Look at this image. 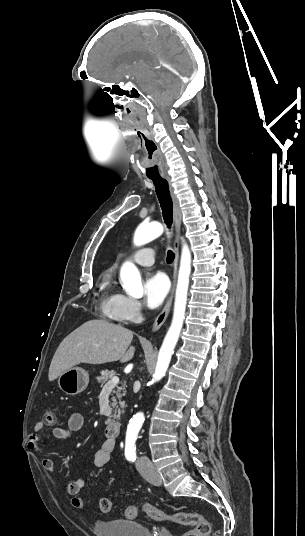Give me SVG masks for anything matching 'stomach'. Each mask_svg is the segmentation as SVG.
Returning a JSON list of instances; mask_svg holds the SVG:
<instances>
[{
    "label": "stomach",
    "instance_id": "0dacf381",
    "mask_svg": "<svg viewBox=\"0 0 305 536\" xmlns=\"http://www.w3.org/2000/svg\"><path fill=\"white\" fill-rule=\"evenodd\" d=\"M89 384V374L83 368H70L58 376V386L67 396L84 392Z\"/></svg>",
    "mask_w": 305,
    "mask_h": 536
}]
</instances>
